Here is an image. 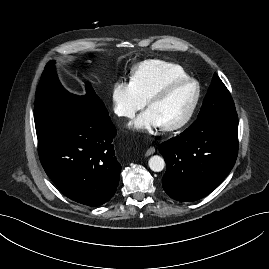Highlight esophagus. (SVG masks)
Returning a JSON list of instances; mask_svg holds the SVG:
<instances>
[{
    "instance_id": "34e87169",
    "label": "esophagus",
    "mask_w": 269,
    "mask_h": 269,
    "mask_svg": "<svg viewBox=\"0 0 269 269\" xmlns=\"http://www.w3.org/2000/svg\"><path fill=\"white\" fill-rule=\"evenodd\" d=\"M154 152H155V148H154V147H150V148L146 151L145 155H146V156H150V155H152Z\"/></svg>"
}]
</instances>
